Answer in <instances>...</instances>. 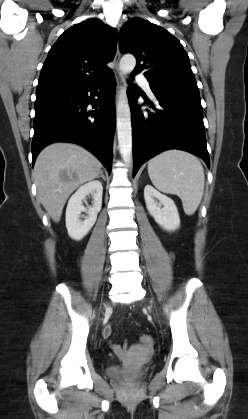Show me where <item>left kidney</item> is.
<instances>
[{
  "instance_id": "left-kidney-1",
  "label": "left kidney",
  "mask_w": 248,
  "mask_h": 419,
  "mask_svg": "<svg viewBox=\"0 0 248 419\" xmlns=\"http://www.w3.org/2000/svg\"><path fill=\"white\" fill-rule=\"evenodd\" d=\"M144 198L150 215L163 229L175 231L180 227L178 210L171 198L160 193L151 185L145 186Z\"/></svg>"
}]
</instances>
